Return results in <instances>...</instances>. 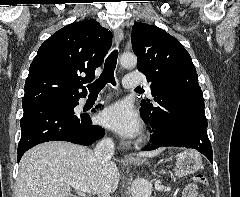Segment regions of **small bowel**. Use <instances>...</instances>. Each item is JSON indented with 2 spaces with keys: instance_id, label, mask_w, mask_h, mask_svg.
<instances>
[{
  "instance_id": "small-bowel-1",
  "label": "small bowel",
  "mask_w": 240,
  "mask_h": 197,
  "mask_svg": "<svg viewBox=\"0 0 240 197\" xmlns=\"http://www.w3.org/2000/svg\"><path fill=\"white\" fill-rule=\"evenodd\" d=\"M183 197H203L198 194L197 186L195 184H189L185 190Z\"/></svg>"
}]
</instances>
